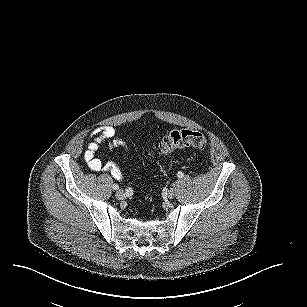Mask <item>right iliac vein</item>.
<instances>
[{
  "label": "right iliac vein",
  "instance_id": "obj_1",
  "mask_svg": "<svg viewBox=\"0 0 307 307\" xmlns=\"http://www.w3.org/2000/svg\"><path fill=\"white\" fill-rule=\"evenodd\" d=\"M115 196H116L117 199L122 200V199H124L125 194H124V192L122 190H118L116 192Z\"/></svg>",
  "mask_w": 307,
  "mask_h": 307
}]
</instances>
